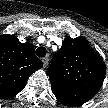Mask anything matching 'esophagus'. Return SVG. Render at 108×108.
<instances>
[{"instance_id":"obj_1","label":"esophagus","mask_w":108,"mask_h":108,"mask_svg":"<svg viewBox=\"0 0 108 108\" xmlns=\"http://www.w3.org/2000/svg\"><path fill=\"white\" fill-rule=\"evenodd\" d=\"M42 62H43L44 68L47 67V65H48V58H46V57L42 58Z\"/></svg>"}]
</instances>
